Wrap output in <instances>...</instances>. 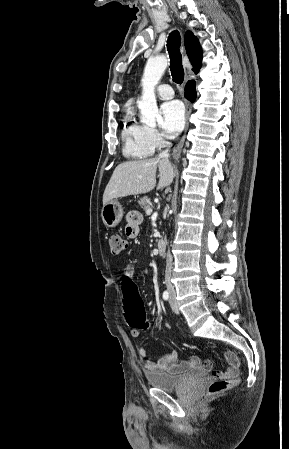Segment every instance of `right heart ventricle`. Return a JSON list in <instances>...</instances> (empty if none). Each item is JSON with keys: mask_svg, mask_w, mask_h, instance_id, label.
<instances>
[{"mask_svg": "<svg viewBox=\"0 0 289 449\" xmlns=\"http://www.w3.org/2000/svg\"><path fill=\"white\" fill-rule=\"evenodd\" d=\"M144 128L132 118L131 114L127 115L122 130L123 152L127 157L140 159L152 153L153 150L145 139Z\"/></svg>", "mask_w": 289, "mask_h": 449, "instance_id": "right-heart-ventricle-1", "label": "right heart ventricle"}]
</instances>
